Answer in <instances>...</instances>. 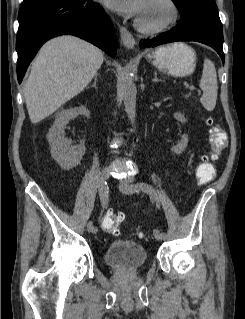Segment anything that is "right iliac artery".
<instances>
[{
	"label": "right iliac artery",
	"mask_w": 245,
	"mask_h": 319,
	"mask_svg": "<svg viewBox=\"0 0 245 319\" xmlns=\"http://www.w3.org/2000/svg\"><path fill=\"white\" fill-rule=\"evenodd\" d=\"M107 183H104V186L101 188L102 189V195H100L101 203L103 207L107 206L108 203V186L106 185ZM98 229L97 227L92 226V232L97 233Z\"/></svg>",
	"instance_id": "82829eb1"
}]
</instances>
